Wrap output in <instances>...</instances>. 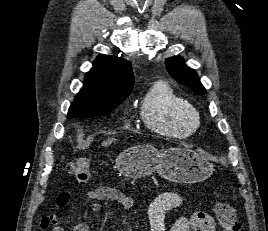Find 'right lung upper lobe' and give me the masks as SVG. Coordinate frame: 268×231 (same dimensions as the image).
<instances>
[{"label":"right lung upper lobe","mask_w":268,"mask_h":231,"mask_svg":"<svg viewBox=\"0 0 268 231\" xmlns=\"http://www.w3.org/2000/svg\"><path fill=\"white\" fill-rule=\"evenodd\" d=\"M84 88L75 97L78 104L124 101L134 85V74L130 61L101 54L86 73Z\"/></svg>","instance_id":"cb5924a9"}]
</instances>
